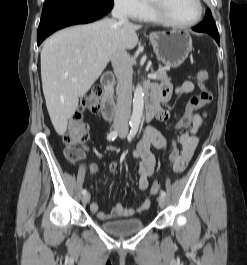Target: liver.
<instances>
[{
  "label": "liver",
  "mask_w": 247,
  "mask_h": 265,
  "mask_svg": "<svg viewBox=\"0 0 247 265\" xmlns=\"http://www.w3.org/2000/svg\"><path fill=\"white\" fill-rule=\"evenodd\" d=\"M141 27L106 18L60 30L44 42L42 87L51 122L59 135L65 134L79 98L89 91L113 55L137 45L136 31Z\"/></svg>",
  "instance_id": "obj_1"
}]
</instances>
